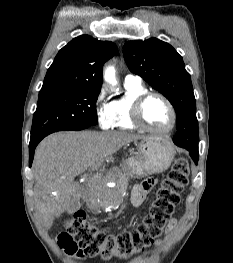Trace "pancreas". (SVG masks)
<instances>
[{"instance_id":"obj_1","label":"pancreas","mask_w":233,"mask_h":263,"mask_svg":"<svg viewBox=\"0 0 233 263\" xmlns=\"http://www.w3.org/2000/svg\"><path fill=\"white\" fill-rule=\"evenodd\" d=\"M114 181L116 182L115 188L101 186L99 189L97 193V198L99 199V208H112L118 206L122 202L123 194L128 185V180L124 174L118 172Z\"/></svg>"}]
</instances>
